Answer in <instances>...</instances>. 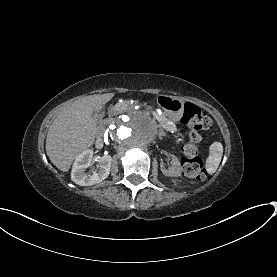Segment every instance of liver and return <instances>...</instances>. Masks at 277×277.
Returning <instances> with one entry per match:
<instances>
[{
  "label": "liver",
  "instance_id": "obj_1",
  "mask_svg": "<svg viewBox=\"0 0 277 277\" xmlns=\"http://www.w3.org/2000/svg\"><path fill=\"white\" fill-rule=\"evenodd\" d=\"M113 96L114 93L87 96L54 119L46 137V153L58 169L67 172L78 154L93 145L97 123L92 114Z\"/></svg>",
  "mask_w": 277,
  "mask_h": 277
}]
</instances>
